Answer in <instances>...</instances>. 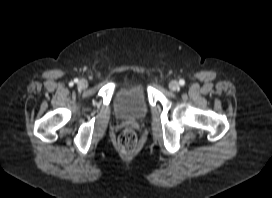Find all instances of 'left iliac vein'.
Instances as JSON below:
<instances>
[{
    "label": "left iliac vein",
    "instance_id": "1",
    "mask_svg": "<svg viewBox=\"0 0 272 198\" xmlns=\"http://www.w3.org/2000/svg\"><path fill=\"white\" fill-rule=\"evenodd\" d=\"M169 88L172 90V91H177L179 88H180V85L177 81L173 80L169 83Z\"/></svg>",
    "mask_w": 272,
    "mask_h": 198
}]
</instances>
